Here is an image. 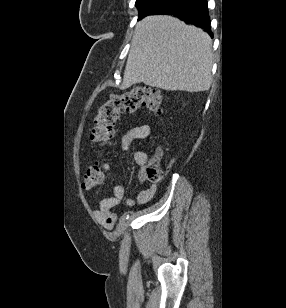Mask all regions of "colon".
Returning a JSON list of instances; mask_svg holds the SVG:
<instances>
[{
	"label": "colon",
	"instance_id": "1",
	"mask_svg": "<svg viewBox=\"0 0 286 308\" xmlns=\"http://www.w3.org/2000/svg\"><path fill=\"white\" fill-rule=\"evenodd\" d=\"M140 108L161 114L163 112L162 95L148 86H137L120 94H112L108 101L98 107L92 133L93 141L100 147L110 145L115 136V126L120 114L132 113ZM106 168L107 165L103 161H97L90 166L83 176L82 187L89 190L99 186L103 182ZM144 173L154 182L162 178L157 157L145 164Z\"/></svg>",
	"mask_w": 286,
	"mask_h": 308
}]
</instances>
